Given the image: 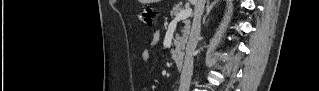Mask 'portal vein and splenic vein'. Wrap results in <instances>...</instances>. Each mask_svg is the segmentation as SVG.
Here are the masks:
<instances>
[{
	"label": "portal vein and splenic vein",
	"mask_w": 319,
	"mask_h": 91,
	"mask_svg": "<svg viewBox=\"0 0 319 91\" xmlns=\"http://www.w3.org/2000/svg\"><path fill=\"white\" fill-rule=\"evenodd\" d=\"M192 14V9H185V10H181L176 17L174 18L175 21H181V20H186L187 18H189Z\"/></svg>",
	"instance_id": "18ae733b"
}]
</instances>
